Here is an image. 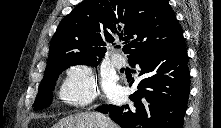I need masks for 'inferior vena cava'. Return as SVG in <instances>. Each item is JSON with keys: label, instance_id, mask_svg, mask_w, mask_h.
Here are the masks:
<instances>
[{"label": "inferior vena cava", "instance_id": "1", "mask_svg": "<svg viewBox=\"0 0 221 128\" xmlns=\"http://www.w3.org/2000/svg\"><path fill=\"white\" fill-rule=\"evenodd\" d=\"M99 128H109L108 118L100 113H95Z\"/></svg>", "mask_w": 221, "mask_h": 128}]
</instances>
